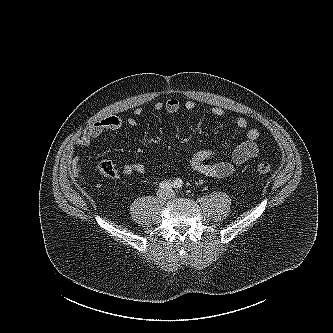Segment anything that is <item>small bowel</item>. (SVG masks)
I'll return each instance as SVG.
<instances>
[{
  "label": "small bowel",
  "instance_id": "small-bowel-1",
  "mask_svg": "<svg viewBox=\"0 0 333 333\" xmlns=\"http://www.w3.org/2000/svg\"><path fill=\"white\" fill-rule=\"evenodd\" d=\"M181 108L193 111L195 103L192 100H187L182 104L177 98H169L166 101H158L154 105V109L157 112L165 111L169 114H176ZM211 113L216 117H221L224 115V110L215 106L211 108ZM142 114V108H136L134 110V117L122 119L118 116H109L100 119L86 127L82 135L77 139L76 144L79 147H87L105 132L118 131L124 126L134 127L137 124L136 117H140ZM235 124L239 129L245 130L246 140L235 147L231 159L229 161H215L217 153L214 150H201L195 153L190 160V166L194 171L208 177H228L237 168L261 153L262 147L257 143L259 137L258 129L249 127L247 119L243 116L236 117ZM96 168L110 179H118L132 174H144L146 172V166L143 163H128L118 170L108 160L99 161L96 164ZM68 171L73 177L83 175L81 161L78 156L69 160Z\"/></svg>",
  "mask_w": 333,
  "mask_h": 333
}]
</instances>
